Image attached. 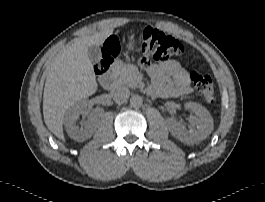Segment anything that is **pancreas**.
Here are the masks:
<instances>
[{"label":"pancreas","mask_w":265,"mask_h":202,"mask_svg":"<svg viewBox=\"0 0 265 202\" xmlns=\"http://www.w3.org/2000/svg\"><path fill=\"white\" fill-rule=\"evenodd\" d=\"M112 70L115 80L118 83L131 88H135L137 86L139 71L135 65L126 64L122 61H116L113 64Z\"/></svg>","instance_id":"cf45deb5"}]
</instances>
